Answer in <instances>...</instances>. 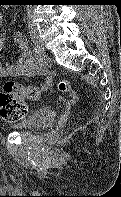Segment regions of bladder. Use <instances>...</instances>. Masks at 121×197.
<instances>
[{
	"label": "bladder",
	"instance_id": "bladder-1",
	"mask_svg": "<svg viewBox=\"0 0 121 197\" xmlns=\"http://www.w3.org/2000/svg\"><path fill=\"white\" fill-rule=\"evenodd\" d=\"M54 119V112L51 108L43 107L38 109L34 114L11 125L12 129L33 130L42 126L43 123Z\"/></svg>",
	"mask_w": 121,
	"mask_h": 197
}]
</instances>
